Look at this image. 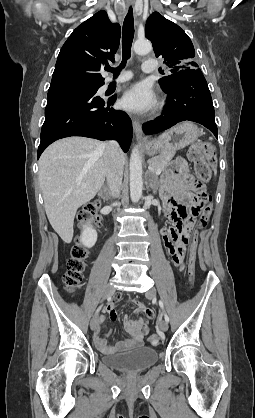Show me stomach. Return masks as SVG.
<instances>
[{
    "label": "stomach",
    "mask_w": 255,
    "mask_h": 418,
    "mask_svg": "<svg viewBox=\"0 0 255 418\" xmlns=\"http://www.w3.org/2000/svg\"><path fill=\"white\" fill-rule=\"evenodd\" d=\"M198 137V127L193 123L184 122L148 141L144 149L149 155L175 152L195 142Z\"/></svg>",
    "instance_id": "stomach-1"
}]
</instances>
